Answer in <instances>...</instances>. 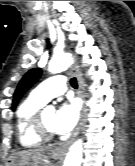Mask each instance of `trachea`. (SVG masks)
<instances>
[{
	"label": "trachea",
	"mask_w": 135,
	"mask_h": 166,
	"mask_svg": "<svg viewBox=\"0 0 135 166\" xmlns=\"http://www.w3.org/2000/svg\"><path fill=\"white\" fill-rule=\"evenodd\" d=\"M70 84H71V86L73 87V88H77V80L75 79V78H72L71 80H70Z\"/></svg>",
	"instance_id": "3493384b"
}]
</instances>
